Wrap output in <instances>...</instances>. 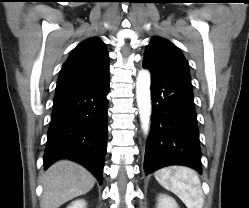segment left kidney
Listing matches in <instances>:
<instances>
[{
	"instance_id": "5707ae66",
	"label": "left kidney",
	"mask_w": 249,
	"mask_h": 208,
	"mask_svg": "<svg viewBox=\"0 0 249 208\" xmlns=\"http://www.w3.org/2000/svg\"><path fill=\"white\" fill-rule=\"evenodd\" d=\"M157 208H179L176 201L168 195H160Z\"/></svg>"
}]
</instances>
